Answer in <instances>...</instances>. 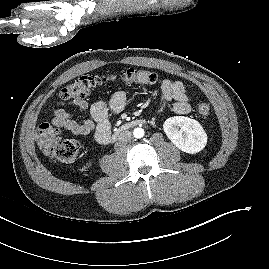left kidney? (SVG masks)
<instances>
[{
  "label": "left kidney",
  "mask_w": 269,
  "mask_h": 269,
  "mask_svg": "<svg viewBox=\"0 0 269 269\" xmlns=\"http://www.w3.org/2000/svg\"><path fill=\"white\" fill-rule=\"evenodd\" d=\"M164 132L181 151L195 154L207 144V134L200 123L185 116L168 118L163 124Z\"/></svg>",
  "instance_id": "5707ae66"
}]
</instances>
